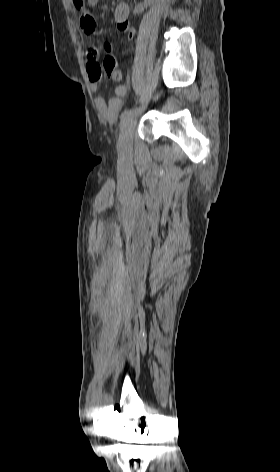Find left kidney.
<instances>
[{"label": "left kidney", "mask_w": 280, "mask_h": 472, "mask_svg": "<svg viewBox=\"0 0 280 472\" xmlns=\"http://www.w3.org/2000/svg\"><path fill=\"white\" fill-rule=\"evenodd\" d=\"M151 2L152 0H145L144 4H140L135 8L134 13L142 11L145 7H147V5H150Z\"/></svg>", "instance_id": "5707ae66"}]
</instances>
